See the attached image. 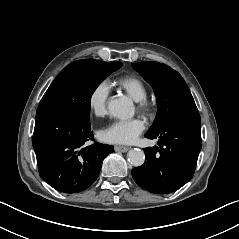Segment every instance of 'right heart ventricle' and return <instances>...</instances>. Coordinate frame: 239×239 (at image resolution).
<instances>
[{"label": "right heart ventricle", "mask_w": 239, "mask_h": 239, "mask_svg": "<svg viewBox=\"0 0 239 239\" xmlns=\"http://www.w3.org/2000/svg\"><path fill=\"white\" fill-rule=\"evenodd\" d=\"M119 83L135 99L139 100L147 95L145 83L137 77H124L119 80Z\"/></svg>", "instance_id": "1"}]
</instances>
